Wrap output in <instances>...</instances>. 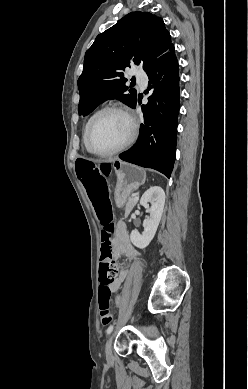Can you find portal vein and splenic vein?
<instances>
[{
  "label": "portal vein and splenic vein",
  "instance_id": "portal-vein-and-splenic-vein-1",
  "mask_svg": "<svg viewBox=\"0 0 248 389\" xmlns=\"http://www.w3.org/2000/svg\"><path fill=\"white\" fill-rule=\"evenodd\" d=\"M134 199H135V200H138V196H135Z\"/></svg>",
  "mask_w": 248,
  "mask_h": 389
}]
</instances>
